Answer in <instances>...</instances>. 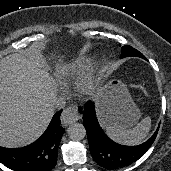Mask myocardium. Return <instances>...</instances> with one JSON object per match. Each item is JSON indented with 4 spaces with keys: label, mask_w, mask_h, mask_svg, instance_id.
I'll list each match as a JSON object with an SVG mask.
<instances>
[{
    "label": "myocardium",
    "mask_w": 171,
    "mask_h": 171,
    "mask_svg": "<svg viewBox=\"0 0 171 171\" xmlns=\"http://www.w3.org/2000/svg\"><path fill=\"white\" fill-rule=\"evenodd\" d=\"M96 93V83L94 72H90L81 77L75 85V95L82 100L93 97Z\"/></svg>",
    "instance_id": "myocardium-1"
}]
</instances>
